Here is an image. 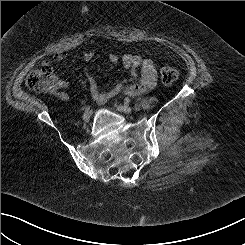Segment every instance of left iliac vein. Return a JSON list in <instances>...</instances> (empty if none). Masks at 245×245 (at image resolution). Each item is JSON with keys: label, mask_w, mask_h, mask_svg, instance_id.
<instances>
[{"label": "left iliac vein", "mask_w": 245, "mask_h": 245, "mask_svg": "<svg viewBox=\"0 0 245 245\" xmlns=\"http://www.w3.org/2000/svg\"><path fill=\"white\" fill-rule=\"evenodd\" d=\"M115 108L117 111L121 112V113H126L129 114L132 112V108L128 105H121V104H116Z\"/></svg>", "instance_id": "obj_1"}]
</instances>
